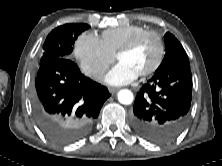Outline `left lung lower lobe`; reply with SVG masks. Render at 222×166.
Instances as JSON below:
<instances>
[{"instance_id":"1","label":"left lung lower lobe","mask_w":222,"mask_h":166,"mask_svg":"<svg viewBox=\"0 0 222 166\" xmlns=\"http://www.w3.org/2000/svg\"><path fill=\"white\" fill-rule=\"evenodd\" d=\"M192 100L190 68L154 74L138 92L132 125L144 139L167 144L185 128Z\"/></svg>"}]
</instances>
